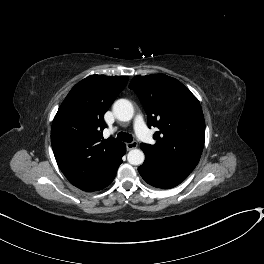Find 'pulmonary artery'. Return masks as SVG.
<instances>
[{
  "label": "pulmonary artery",
  "mask_w": 264,
  "mask_h": 264,
  "mask_svg": "<svg viewBox=\"0 0 264 264\" xmlns=\"http://www.w3.org/2000/svg\"><path fill=\"white\" fill-rule=\"evenodd\" d=\"M134 126L136 129L137 134L144 138V130H145V122L141 115H137L134 120Z\"/></svg>",
  "instance_id": "pulmonary-artery-1"
}]
</instances>
